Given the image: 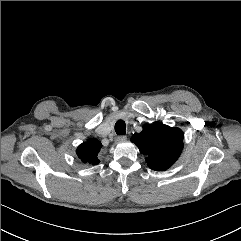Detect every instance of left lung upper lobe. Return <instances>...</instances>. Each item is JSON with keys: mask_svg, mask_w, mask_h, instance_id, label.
<instances>
[{"mask_svg": "<svg viewBox=\"0 0 241 241\" xmlns=\"http://www.w3.org/2000/svg\"><path fill=\"white\" fill-rule=\"evenodd\" d=\"M183 132L163 123L145 125L142 132L135 133L131 142L146 157L150 169L164 171L179 158L183 149Z\"/></svg>", "mask_w": 241, "mask_h": 241, "instance_id": "1", "label": "left lung upper lobe"}]
</instances>
